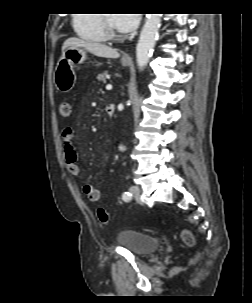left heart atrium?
<instances>
[{
	"mask_svg": "<svg viewBox=\"0 0 252 303\" xmlns=\"http://www.w3.org/2000/svg\"><path fill=\"white\" fill-rule=\"evenodd\" d=\"M140 21L139 14H114L113 22L121 32H131L138 26Z\"/></svg>",
	"mask_w": 252,
	"mask_h": 303,
	"instance_id": "obj_1",
	"label": "left heart atrium"
}]
</instances>
